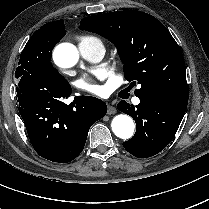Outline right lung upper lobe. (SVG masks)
Returning a JSON list of instances; mask_svg holds the SVG:
<instances>
[{
	"instance_id": "cb5924a9",
	"label": "right lung upper lobe",
	"mask_w": 209,
	"mask_h": 209,
	"mask_svg": "<svg viewBox=\"0 0 209 209\" xmlns=\"http://www.w3.org/2000/svg\"><path fill=\"white\" fill-rule=\"evenodd\" d=\"M61 22L64 23L63 20H58V21H54V22H49V23L43 25L41 28L44 29V30L53 29L54 27H56L57 25H59Z\"/></svg>"
}]
</instances>
